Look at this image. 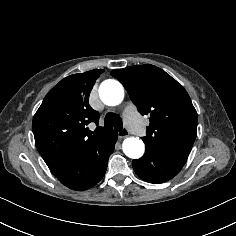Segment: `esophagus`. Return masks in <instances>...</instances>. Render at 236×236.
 <instances>
[{"label": "esophagus", "instance_id": "34e87169", "mask_svg": "<svg viewBox=\"0 0 236 236\" xmlns=\"http://www.w3.org/2000/svg\"><path fill=\"white\" fill-rule=\"evenodd\" d=\"M119 138L123 139L129 135V131L126 128H123L119 133Z\"/></svg>", "mask_w": 236, "mask_h": 236}]
</instances>
